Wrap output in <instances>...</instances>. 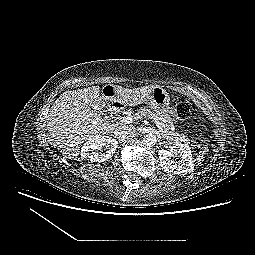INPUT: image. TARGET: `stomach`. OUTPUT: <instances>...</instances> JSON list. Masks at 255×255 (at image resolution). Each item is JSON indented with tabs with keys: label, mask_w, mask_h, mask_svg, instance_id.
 <instances>
[{
	"label": "stomach",
	"mask_w": 255,
	"mask_h": 255,
	"mask_svg": "<svg viewBox=\"0 0 255 255\" xmlns=\"http://www.w3.org/2000/svg\"><path fill=\"white\" fill-rule=\"evenodd\" d=\"M113 93L109 94L106 90H103L102 95L104 97H111L114 95L115 87L112 89ZM146 103L154 113L169 123H174L175 118L173 116L172 108L170 106V97L165 89L159 86H155L150 93Z\"/></svg>",
	"instance_id": "obj_1"
}]
</instances>
